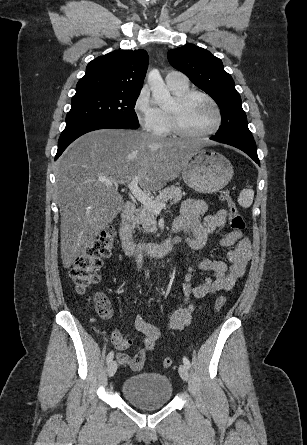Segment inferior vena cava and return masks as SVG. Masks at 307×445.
Segmentation results:
<instances>
[{"label":"inferior vena cava","instance_id":"obj_1","mask_svg":"<svg viewBox=\"0 0 307 445\" xmlns=\"http://www.w3.org/2000/svg\"><path fill=\"white\" fill-rule=\"evenodd\" d=\"M138 249H139V251H138L136 263L138 265V269H141L142 263H143V253L141 251V247H138Z\"/></svg>","mask_w":307,"mask_h":445}]
</instances>
